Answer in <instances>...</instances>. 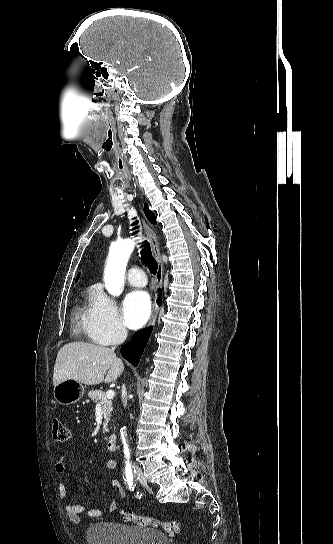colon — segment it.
I'll return each mask as SVG.
<instances>
[{
    "instance_id": "1",
    "label": "colon",
    "mask_w": 333,
    "mask_h": 544,
    "mask_svg": "<svg viewBox=\"0 0 333 544\" xmlns=\"http://www.w3.org/2000/svg\"><path fill=\"white\" fill-rule=\"evenodd\" d=\"M52 434L54 440L61 443L68 441L70 438L69 428L60 419L53 420ZM121 517L124 521L131 522L142 527L161 528L169 536L180 532V526L177 521H158L151 517L138 515L131 511H123L121 513Z\"/></svg>"
}]
</instances>
